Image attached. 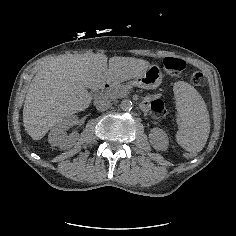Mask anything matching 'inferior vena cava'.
<instances>
[{
	"mask_svg": "<svg viewBox=\"0 0 236 236\" xmlns=\"http://www.w3.org/2000/svg\"><path fill=\"white\" fill-rule=\"evenodd\" d=\"M111 106L112 104L110 102L100 101L97 103L96 108H97V111L102 112V111L108 110Z\"/></svg>",
	"mask_w": 236,
	"mask_h": 236,
	"instance_id": "602c4592",
	"label": "inferior vena cava"
}]
</instances>
